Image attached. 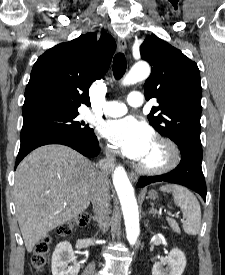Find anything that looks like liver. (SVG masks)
Masks as SVG:
<instances>
[{
	"label": "liver",
	"instance_id": "1",
	"mask_svg": "<svg viewBox=\"0 0 225 275\" xmlns=\"http://www.w3.org/2000/svg\"><path fill=\"white\" fill-rule=\"evenodd\" d=\"M95 172L91 161L58 144L39 147L22 160L15 173L14 201L28 252L89 207Z\"/></svg>",
	"mask_w": 225,
	"mask_h": 275
}]
</instances>
